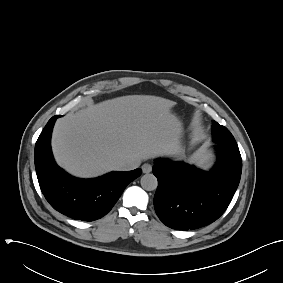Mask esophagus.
Segmentation results:
<instances>
[{
  "mask_svg": "<svg viewBox=\"0 0 283 283\" xmlns=\"http://www.w3.org/2000/svg\"><path fill=\"white\" fill-rule=\"evenodd\" d=\"M141 168L143 173H150L152 170V165L150 163H144Z\"/></svg>",
  "mask_w": 283,
  "mask_h": 283,
  "instance_id": "34e87169",
  "label": "esophagus"
}]
</instances>
